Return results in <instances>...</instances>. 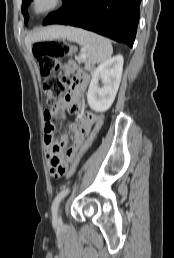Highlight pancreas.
Returning a JSON list of instances; mask_svg holds the SVG:
<instances>
[{
  "label": "pancreas",
  "instance_id": "obj_1",
  "mask_svg": "<svg viewBox=\"0 0 174 258\" xmlns=\"http://www.w3.org/2000/svg\"><path fill=\"white\" fill-rule=\"evenodd\" d=\"M76 60L78 61V63H85V70L89 71V72H93L94 71V67L92 65H90L86 59H83L81 57H76Z\"/></svg>",
  "mask_w": 174,
  "mask_h": 258
}]
</instances>
